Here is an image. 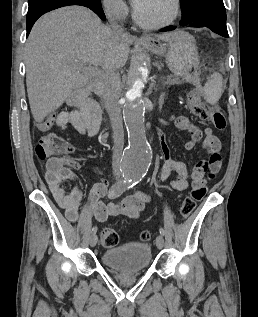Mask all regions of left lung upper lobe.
Masks as SVG:
<instances>
[{"instance_id": "5c2ea615", "label": "left lung upper lobe", "mask_w": 258, "mask_h": 317, "mask_svg": "<svg viewBox=\"0 0 258 317\" xmlns=\"http://www.w3.org/2000/svg\"><path fill=\"white\" fill-rule=\"evenodd\" d=\"M182 8V21L181 23H190L193 18L200 13L204 5L212 4L221 8L223 16L226 18V10L223 0H180Z\"/></svg>"}]
</instances>
